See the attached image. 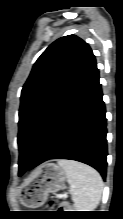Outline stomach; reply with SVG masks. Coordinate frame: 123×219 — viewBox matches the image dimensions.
I'll list each match as a JSON object with an SVG mask.
<instances>
[{
  "instance_id": "obj_1",
  "label": "stomach",
  "mask_w": 123,
  "mask_h": 219,
  "mask_svg": "<svg viewBox=\"0 0 123 219\" xmlns=\"http://www.w3.org/2000/svg\"><path fill=\"white\" fill-rule=\"evenodd\" d=\"M66 178V172L59 165L54 163L41 165L22 190V204L31 208L43 205L49 193H55L64 186Z\"/></svg>"
}]
</instances>
